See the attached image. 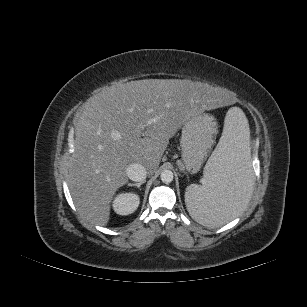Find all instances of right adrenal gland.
Returning a JSON list of instances; mask_svg holds the SVG:
<instances>
[{"mask_svg":"<svg viewBox=\"0 0 307 307\" xmlns=\"http://www.w3.org/2000/svg\"><path fill=\"white\" fill-rule=\"evenodd\" d=\"M145 183V181L139 182V183H128V186H134L137 188H140V186Z\"/></svg>","mask_w":307,"mask_h":307,"instance_id":"2a0ac1e0","label":"right adrenal gland"}]
</instances>
